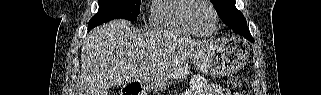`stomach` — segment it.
Returning a JSON list of instances; mask_svg holds the SVG:
<instances>
[{"label": "stomach", "instance_id": "0dacf381", "mask_svg": "<svg viewBox=\"0 0 321 95\" xmlns=\"http://www.w3.org/2000/svg\"><path fill=\"white\" fill-rule=\"evenodd\" d=\"M249 48L237 39L207 42L191 57L195 68L214 76H227L237 72L246 62ZM189 61H183L163 74L154 77L147 89H161L172 82L181 81L190 74Z\"/></svg>", "mask_w": 321, "mask_h": 95}]
</instances>
